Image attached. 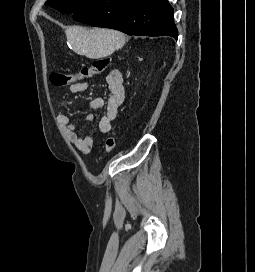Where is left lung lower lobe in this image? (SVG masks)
<instances>
[{"mask_svg": "<svg viewBox=\"0 0 255 272\" xmlns=\"http://www.w3.org/2000/svg\"><path fill=\"white\" fill-rule=\"evenodd\" d=\"M73 19L128 35L172 36L177 40L173 7L167 0H92Z\"/></svg>", "mask_w": 255, "mask_h": 272, "instance_id": "1", "label": "left lung lower lobe"}]
</instances>
